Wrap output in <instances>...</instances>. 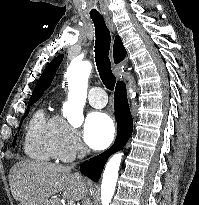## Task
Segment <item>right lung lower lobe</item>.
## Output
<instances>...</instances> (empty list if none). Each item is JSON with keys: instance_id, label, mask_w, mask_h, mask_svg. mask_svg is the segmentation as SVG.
<instances>
[{"instance_id": "1", "label": "right lung lower lobe", "mask_w": 199, "mask_h": 205, "mask_svg": "<svg viewBox=\"0 0 199 205\" xmlns=\"http://www.w3.org/2000/svg\"><path fill=\"white\" fill-rule=\"evenodd\" d=\"M115 119L117 121V137L114 144L102 154L85 161L81 166V172L91 180L97 182L107 159L119 151L129 140L133 131V121L130 113L126 87L124 82L119 81L114 93Z\"/></svg>"}]
</instances>
